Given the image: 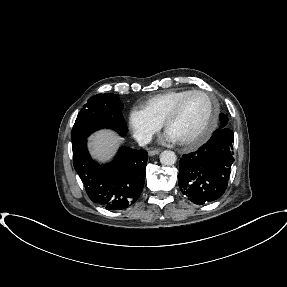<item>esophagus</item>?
Masks as SVG:
<instances>
[{"instance_id": "1", "label": "esophagus", "mask_w": 287, "mask_h": 287, "mask_svg": "<svg viewBox=\"0 0 287 287\" xmlns=\"http://www.w3.org/2000/svg\"><path fill=\"white\" fill-rule=\"evenodd\" d=\"M160 152H161L160 149H153V150H149V151H148V155H149V156H154V155L159 154Z\"/></svg>"}]
</instances>
